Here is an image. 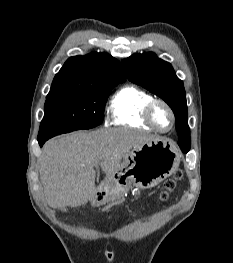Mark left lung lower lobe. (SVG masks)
<instances>
[{
	"label": "left lung lower lobe",
	"instance_id": "0a47b994",
	"mask_svg": "<svg viewBox=\"0 0 233 263\" xmlns=\"http://www.w3.org/2000/svg\"><path fill=\"white\" fill-rule=\"evenodd\" d=\"M178 145L184 153H187L190 150L191 144H189V142L185 139H179Z\"/></svg>",
	"mask_w": 233,
	"mask_h": 263
}]
</instances>
